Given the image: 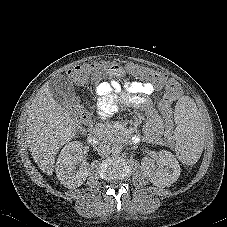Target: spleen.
I'll return each instance as SVG.
<instances>
[{
  "label": "spleen",
  "instance_id": "spleen-1",
  "mask_svg": "<svg viewBox=\"0 0 227 227\" xmlns=\"http://www.w3.org/2000/svg\"><path fill=\"white\" fill-rule=\"evenodd\" d=\"M180 134L177 153L187 164H193L199 157L202 140V116L196 104L189 98L180 99L175 105Z\"/></svg>",
  "mask_w": 227,
  "mask_h": 227
}]
</instances>
